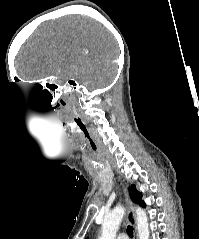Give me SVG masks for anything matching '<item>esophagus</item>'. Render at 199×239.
<instances>
[{
	"label": "esophagus",
	"mask_w": 199,
	"mask_h": 239,
	"mask_svg": "<svg viewBox=\"0 0 199 239\" xmlns=\"http://www.w3.org/2000/svg\"><path fill=\"white\" fill-rule=\"evenodd\" d=\"M125 196H126V205H127V219L128 221L132 224L134 228V235L135 238L137 237V226H136V218H135V213L133 209V205L128 197V193L126 188H124Z\"/></svg>",
	"instance_id": "esophagus-1"
}]
</instances>
